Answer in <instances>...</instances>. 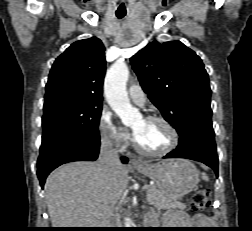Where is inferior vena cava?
Masks as SVG:
<instances>
[{
	"label": "inferior vena cava",
	"mask_w": 252,
	"mask_h": 231,
	"mask_svg": "<svg viewBox=\"0 0 252 231\" xmlns=\"http://www.w3.org/2000/svg\"><path fill=\"white\" fill-rule=\"evenodd\" d=\"M99 163L106 172L111 174L121 166L118 151L113 148L112 141L106 136L101 139Z\"/></svg>",
	"instance_id": "1"
}]
</instances>
